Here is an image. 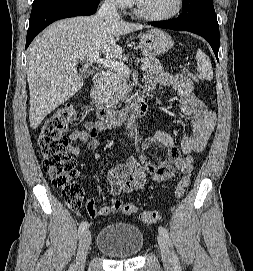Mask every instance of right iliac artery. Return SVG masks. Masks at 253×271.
I'll return each instance as SVG.
<instances>
[{"instance_id": "82829eb1", "label": "right iliac artery", "mask_w": 253, "mask_h": 271, "mask_svg": "<svg viewBox=\"0 0 253 271\" xmlns=\"http://www.w3.org/2000/svg\"><path fill=\"white\" fill-rule=\"evenodd\" d=\"M88 228V222L84 221L80 224L79 229H78V236L80 237ZM75 265H72L69 269V271H74Z\"/></svg>"}]
</instances>
